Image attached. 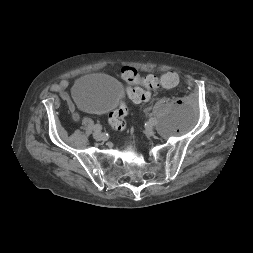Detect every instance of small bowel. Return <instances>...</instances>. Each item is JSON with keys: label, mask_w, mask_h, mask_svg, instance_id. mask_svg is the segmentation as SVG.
Segmentation results:
<instances>
[{"label": "small bowel", "mask_w": 253, "mask_h": 253, "mask_svg": "<svg viewBox=\"0 0 253 253\" xmlns=\"http://www.w3.org/2000/svg\"><path fill=\"white\" fill-rule=\"evenodd\" d=\"M60 86H61V87H67V86H68V81H67V80H63V81L60 83ZM75 119H78V116H76Z\"/></svg>", "instance_id": "obj_1"}]
</instances>
